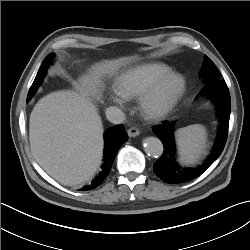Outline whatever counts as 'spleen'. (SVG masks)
Segmentation results:
<instances>
[{"label":"spleen","mask_w":250,"mask_h":250,"mask_svg":"<svg viewBox=\"0 0 250 250\" xmlns=\"http://www.w3.org/2000/svg\"><path fill=\"white\" fill-rule=\"evenodd\" d=\"M179 161L183 165H192L205 153L207 132L203 125L194 124L180 128L175 132Z\"/></svg>","instance_id":"1"}]
</instances>
